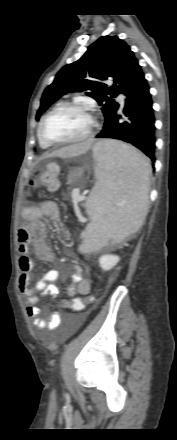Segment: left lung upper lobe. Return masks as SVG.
Returning <instances> with one entry per match:
<instances>
[{"label": "left lung upper lobe", "instance_id": "obj_1", "mask_svg": "<svg viewBox=\"0 0 177 440\" xmlns=\"http://www.w3.org/2000/svg\"><path fill=\"white\" fill-rule=\"evenodd\" d=\"M141 71L126 42L117 36H102L78 61L65 65L57 73L54 82L43 93L36 120L62 94L85 91L102 106L106 121L118 107L112 98L119 93L125 94ZM108 78L114 81L109 88L103 83Z\"/></svg>", "mask_w": 177, "mask_h": 440}]
</instances>
